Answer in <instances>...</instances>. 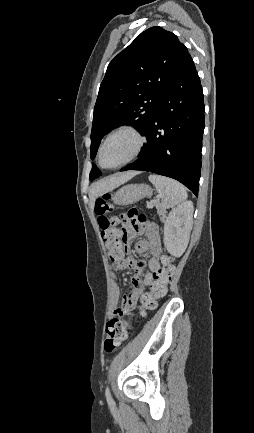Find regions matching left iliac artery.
I'll list each match as a JSON object with an SVG mask.
<instances>
[{"mask_svg": "<svg viewBox=\"0 0 254 433\" xmlns=\"http://www.w3.org/2000/svg\"><path fill=\"white\" fill-rule=\"evenodd\" d=\"M105 395H106L107 402H108L110 405L113 404V399H112V396H111V393H110V390H109L108 387H106Z\"/></svg>", "mask_w": 254, "mask_h": 433, "instance_id": "1", "label": "left iliac artery"}]
</instances>
